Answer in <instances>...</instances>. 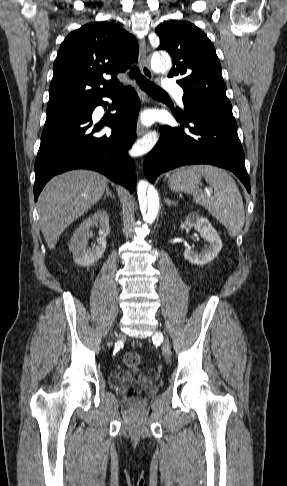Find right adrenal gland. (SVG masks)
Returning <instances> with one entry per match:
<instances>
[{
	"label": "right adrenal gland",
	"mask_w": 287,
	"mask_h": 486,
	"mask_svg": "<svg viewBox=\"0 0 287 486\" xmlns=\"http://www.w3.org/2000/svg\"><path fill=\"white\" fill-rule=\"evenodd\" d=\"M108 196L111 198H115L114 195L111 193L109 187H106V195L104 196V199H106Z\"/></svg>",
	"instance_id": "1"
}]
</instances>
